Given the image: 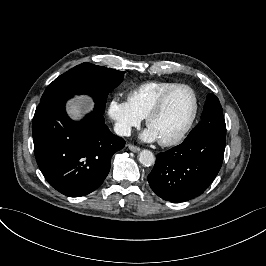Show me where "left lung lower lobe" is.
<instances>
[{
    "mask_svg": "<svg viewBox=\"0 0 266 266\" xmlns=\"http://www.w3.org/2000/svg\"><path fill=\"white\" fill-rule=\"evenodd\" d=\"M226 136L204 133L159 153L148 175L152 190L162 199L183 202L201 195L217 176Z\"/></svg>",
    "mask_w": 266,
    "mask_h": 266,
    "instance_id": "obj_1",
    "label": "left lung lower lobe"
}]
</instances>
